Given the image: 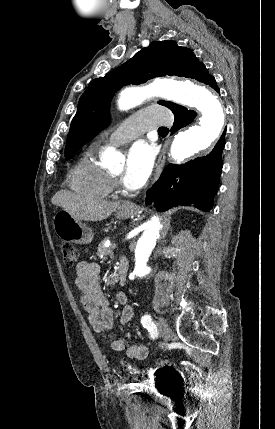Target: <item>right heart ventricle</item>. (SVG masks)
Segmentation results:
<instances>
[{"mask_svg":"<svg viewBox=\"0 0 275 429\" xmlns=\"http://www.w3.org/2000/svg\"><path fill=\"white\" fill-rule=\"evenodd\" d=\"M72 190L92 197L107 198L113 189L109 173L97 159L96 147H91L71 170L68 178Z\"/></svg>","mask_w":275,"mask_h":429,"instance_id":"1","label":"right heart ventricle"}]
</instances>
